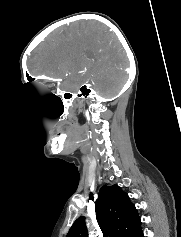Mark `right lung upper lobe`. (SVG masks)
Returning <instances> with one entry per match:
<instances>
[{
	"label": "right lung upper lobe",
	"instance_id": "obj_1",
	"mask_svg": "<svg viewBox=\"0 0 181 237\" xmlns=\"http://www.w3.org/2000/svg\"><path fill=\"white\" fill-rule=\"evenodd\" d=\"M95 212L103 237H138L142 232L134 204L118 185L100 189ZM67 237H88L85 217L81 216L73 223Z\"/></svg>",
	"mask_w": 181,
	"mask_h": 237
}]
</instances>
